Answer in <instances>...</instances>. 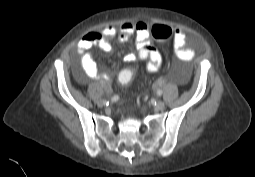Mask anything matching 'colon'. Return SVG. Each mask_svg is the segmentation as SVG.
<instances>
[{"instance_id": "colon-1", "label": "colon", "mask_w": 255, "mask_h": 177, "mask_svg": "<svg viewBox=\"0 0 255 177\" xmlns=\"http://www.w3.org/2000/svg\"><path fill=\"white\" fill-rule=\"evenodd\" d=\"M151 33H152V36L158 41H167L173 35V31L169 26L160 25V24L154 25L152 27ZM134 74H135V70L133 68H126L122 70L119 73L120 83L123 85L128 84L132 80Z\"/></svg>"}]
</instances>
